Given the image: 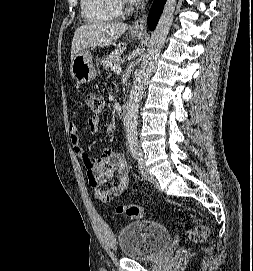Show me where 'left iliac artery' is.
<instances>
[{
	"label": "left iliac artery",
	"mask_w": 253,
	"mask_h": 271,
	"mask_svg": "<svg viewBox=\"0 0 253 271\" xmlns=\"http://www.w3.org/2000/svg\"><path fill=\"white\" fill-rule=\"evenodd\" d=\"M129 146H130V150H131L133 157L137 158V156H138V141L137 140H130Z\"/></svg>",
	"instance_id": "obj_1"
}]
</instances>
